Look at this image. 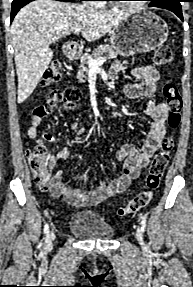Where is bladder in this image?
Wrapping results in <instances>:
<instances>
[{"label": "bladder", "instance_id": "1", "mask_svg": "<svg viewBox=\"0 0 193 287\" xmlns=\"http://www.w3.org/2000/svg\"><path fill=\"white\" fill-rule=\"evenodd\" d=\"M68 229L86 240H109L114 236L112 226L100 214L90 210L74 212Z\"/></svg>", "mask_w": 193, "mask_h": 287}]
</instances>
